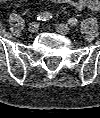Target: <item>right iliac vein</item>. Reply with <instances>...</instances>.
Returning <instances> with one entry per match:
<instances>
[{
  "label": "right iliac vein",
  "mask_w": 100,
  "mask_h": 118,
  "mask_svg": "<svg viewBox=\"0 0 100 118\" xmlns=\"http://www.w3.org/2000/svg\"><path fill=\"white\" fill-rule=\"evenodd\" d=\"M29 31L31 32V33H35V32H37L38 31V29H39V23L38 22H32L30 25H29Z\"/></svg>",
  "instance_id": "1"
}]
</instances>
